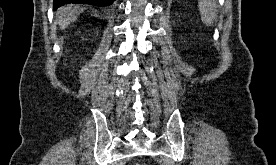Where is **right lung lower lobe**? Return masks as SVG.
<instances>
[{"mask_svg": "<svg viewBox=\"0 0 276 165\" xmlns=\"http://www.w3.org/2000/svg\"><path fill=\"white\" fill-rule=\"evenodd\" d=\"M114 1L115 0H54L53 8L57 9L60 6L69 3H83L95 6H108L112 4Z\"/></svg>", "mask_w": 276, "mask_h": 165, "instance_id": "obj_1", "label": "right lung lower lobe"}]
</instances>
